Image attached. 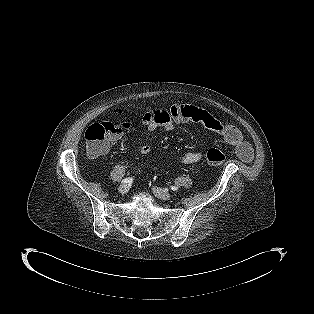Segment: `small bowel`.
<instances>
[{
  "label": "small bowel",
  "instance_id": "1",
  "mask_svg": "<svg viewBox=\"0 0 314 314\" xmlns=\"http://www.w3.org/2000/svg\"><path fill=\"white\" fill-rule=\"evenodd\" d=\"M186 122L200 124L205 129L219 135L227 144L235 148L237 155L242 161L249 163L253 160V150L250 144L243 139L241 131L234 125L223 123L205 109L173 104L149 112L143 118V124L149 130L162 125L166 132L172 131L175 124ZM123 133L113 138L111 143L119 140ZM150 151L151 146L149 144H143L139 147L141 154H148ZM202 159L203 154L195 151L186 153L181 160L184 164H193L200 162Z\"/></svg>",
  "mask_w": 314,
  "mask_h": 314
}]
</instances>
